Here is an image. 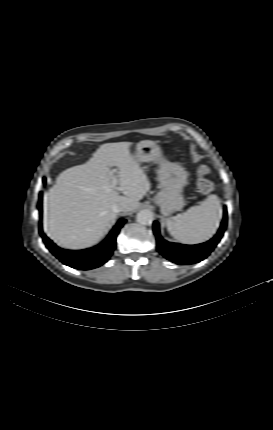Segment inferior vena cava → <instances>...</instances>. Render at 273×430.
<instances>
[{"mask_svg": "<svg viewBox=\"0 0 273 430\" xmlns=\"http://www.w3.org/2000/svg\"><path fill=\"white\" fill-rule=\"evenodd\" d=\"M112 210H113V212H114V213H119V212H121V211H123V210H124V204H123V203H121V202H119V203H115V204L112 206Z\"/></svg>", "mask_w": 273, "mask_h": 430, "instance_id": "1", "label": "inferior vena cava"}]
</instances>
